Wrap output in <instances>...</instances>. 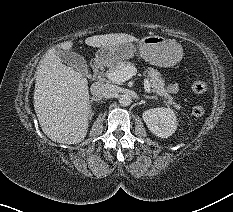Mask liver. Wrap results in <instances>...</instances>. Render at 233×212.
Listing matches in <instances>:
<instances>
[{
    "mask_svg": "<svg viewBox=\"0 0 233 212\" xmlns=\"http://www.w3.org/2000/svg\"><path fill=\"white\" fill-rule=\"evenodd\" d=\"M137 41L132 35L110 33L88 37L85 43L94 48L114 47ZM72 41L59 48L69 51ZM55 47L50 48L37 67L34 109L43 133L52 141L77 144L88 132L90 95L88 81L79 71L63 64Z\"/></svg>",
    "mask_w": 233,
    "mask_h": 212,
    "instance_id": "6515ba94",
    "label": "liver"
}]
</instances>
